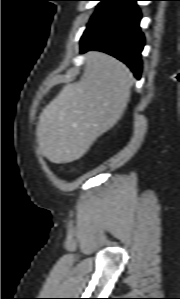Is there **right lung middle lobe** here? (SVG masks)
<instances>
[{
  "label": "right lung middle lobe",
  "instance_id": "dd1d6c3e",
  "mask_svg": "<svg viewBox=\"0 0 180 299\" xmlns=\"http://www.w3.org/2000/svg\"><path fill=\"white\" fill-rule=\"evenodd\" d=\"M100 1H101V3L98 5L97 10H98L102 5H104L106 2H108V0H100Z\"/></svg>",
  "mask_w": 180,
  "mask_h": 299
}]
</instances>
